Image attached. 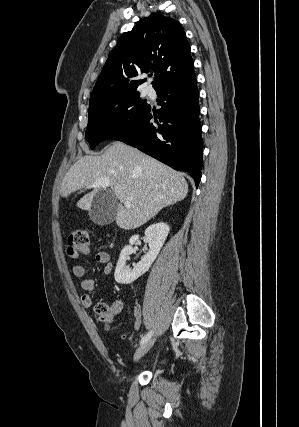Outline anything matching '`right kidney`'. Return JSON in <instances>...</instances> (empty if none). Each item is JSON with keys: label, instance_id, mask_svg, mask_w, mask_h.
<instances>
[{"label": "right kidney", "instance_id": "ca27d5eb", "mask_svg": "<svg viewBox=\"0 0 299 427\" xmlns=\"http://www.w3.org/2000/svg\"><path fill=\"white\" fill-rule=\"evenodd\" d=\"M169 231V226L164 222L149 226L145 230V240L150 249L133 268H130L126 265V261L133 252L132 246L139 240V235L132 236L129 240V245L125 246L120 253L114 273L115 281L119 284H130L147 272L157 258Z\"/></svg>", "mask_w": 299, "mask_h": 427}]
</instances>
